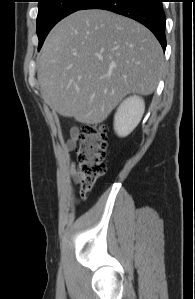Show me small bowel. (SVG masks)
<instances>
[{
  "mask_svg": "<svg viewBox=\"0 0 195 299\" xmlns=\"http://www.w3.org/2000/svg\"><path fill=\"white\" fill-rule=\"evenodd\" d=\"M77 134H78L77 129H75V128L71 129V131H70L71 138L66 143V148L68 150H72L74 148ZM69 159H70V155H69Z\"/></svg>",
  "mask_w": 195,
  "mask_h": 299,
  "instance_id": "1",
  "label": "small bowel"
}]
</instances>
